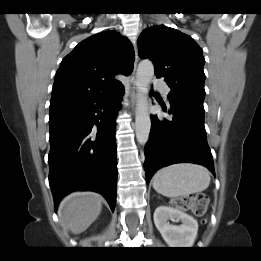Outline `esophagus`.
<instances>
[{"instance_id": "34e87169", "label": "esophagus", "mask_w": 261, "mask_h": 261, "mask_svg": "<svg viewBox=\"0 0 261 261\" xmlns=\"http://www.w3.org/2000/svg\"><path fill=\"white\" fill-rule=\"evenodd\" d=\"M138 59H139L138 50H137V45L135 44V60H134L133 72L132 75L130 76V87H131L130 99H131V104L133 109L135 108L136 101H137L136 69H137Z\"/></svg>"}]
</instances>
